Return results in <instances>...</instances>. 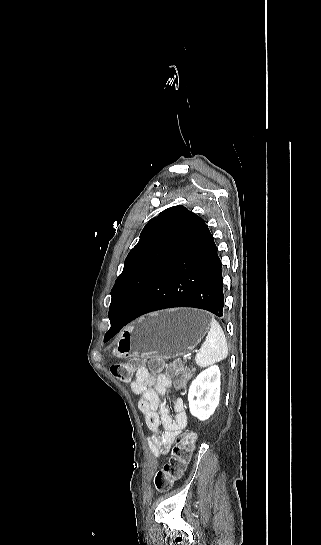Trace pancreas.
I'll use <instances>...</instances> for the list:
<instances>
[{
	"instance_id": "cf45deb5",
	"label": "pancreas",
	"mask_w": 321,
	"mask_h": 545,
	"mask_svg": "<svg viewBox=\"0 0 321 545\" xmlns=\"http://www.w3.org/2000/svg\"><path fill=\"white\" fill-rule=\"evenodd\" d=\"M191 371H196V369H194V367H193V369H191Z\"/></svg>"
}]
</instances>
